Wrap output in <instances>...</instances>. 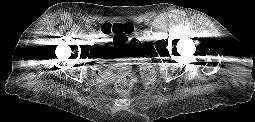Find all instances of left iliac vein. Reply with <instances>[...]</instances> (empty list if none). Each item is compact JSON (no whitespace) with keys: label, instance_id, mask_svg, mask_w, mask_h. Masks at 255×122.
<instances>
[{"label":"left iliac vein","instance_id":"left-iliac-vein-1","mask_svg":"<svg viewBox=\"0 0 255 122\" xmlns=\"http://www.w3.org/2000/svg\"><path fill=\"white\" fill-rule=\"evenodd\" d=\"M144 38H145V39H149V38H150V35H149L148 33H145V34H144Z\"/></svg>","mask_w":255,"mask_h":122}]
</instances>
